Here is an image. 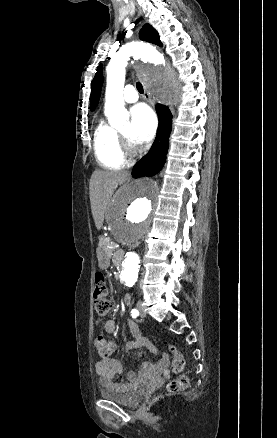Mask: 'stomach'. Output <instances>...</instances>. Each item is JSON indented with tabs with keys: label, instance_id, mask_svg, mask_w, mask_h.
Here are the masks:
<instances>
[{
	"label": "stomach",
	"instance_id": "stomach-1",
	"mask_svg": "<svg viewBox=\"0 0 277 438\" xmlns=\"http://www.w3.org/2000/svg\"><path fill=\"white\" fill-rule=\"evenodd\" d=\"M98 262L101 268H106L109 265V256L103 251H98Z\"/></svg>",
	"mask_w": 277,
	"mask_h": 438
}]
</instances>
